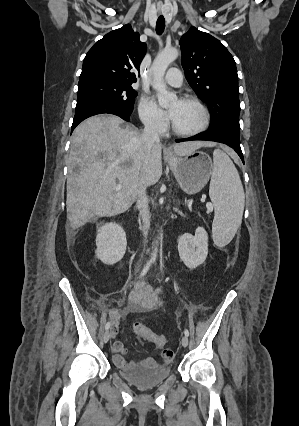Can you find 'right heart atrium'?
Masks as SVG:
<instances>
[{
  "label": "right heart atrium",
  "mask_w": 299,
  "mask_h": 426,
  "mask_svg": "<svg viewBox=\"0 0 299 426\" xmlns=\"http://www.w3.org/2000/svg\"><path fill=\"white\" fill-rule=\"evenodd\" d=\"M138 111L141 121L148 129L153 131H162L165 129L166 120L150 98L146 96L141 98Z\"/></svg>",
  "instance_id": "obj_1"
}]
</instances>
